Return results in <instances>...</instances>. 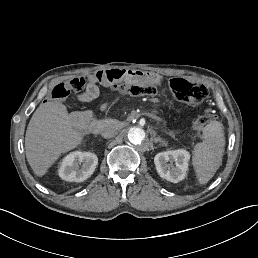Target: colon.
<instances>
[{
  "instance_id": "colon-1",
  "label": "colon",
  "mask_w": 258,
  "mask_h": 258,
  "mask_svg": "<svg viewBox=\"0 0 258 258\" xmlns=\"http://www.w3.org/2000/svg\"><path fill=\"white\" fill-rule=\"evenodd\" d=\"M90 83V77H75L67 82L56 85L52 90V98H66L71 91H83ZM170 89L176 99L184 104L196 105L202 103L207 97V89L204 85L188 81L183 78H173L169 82ZM116 90L122 94L132 96H149L155 93L152 86L139 80H128L116 86ZM215 119L212 113L203 115L195 120L193 128L200 130L206 124Z\"/></svg>"
}]
</instances>
